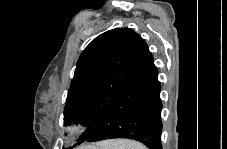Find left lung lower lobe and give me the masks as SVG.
Listing matches in <instances>:
<instances>
[{"label": "left lung lower lobe", "instance_id": "left-lung-lower-lobe-1", "mask_svg": "<svg viewBox=\"0 0 227 149\" xmlns=\"http://www.w3.org/2000/svg\"><path fill=\"white\" fill-rule=\"evenodd\" d=\"M157 76L153 56L145 43L121 93L84 142L127 138L150 149H162L161 85Z\"/></svg>", "mask_w": 227, "mask_h": 149}]
</instances>
